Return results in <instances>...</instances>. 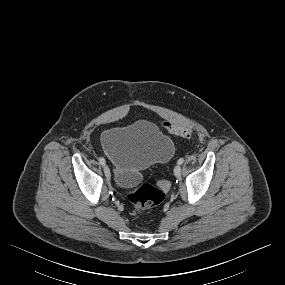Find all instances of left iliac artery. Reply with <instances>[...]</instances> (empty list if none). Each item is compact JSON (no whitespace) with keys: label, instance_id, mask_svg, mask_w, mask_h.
Instances as JSON below:
<instances>
[{"label":"left iliac artery","instance_id":"left-iliac-artery-1","mask_svg":"<svg viewBox=\"0 0 285 285\" xmlns=\"http://www.w3.org/2000/svg\"><path fill=\"white\" fill-rule=\"evenodd\" d=\"M183 162H184V158H180V159L177 161L178 165L183 164Z\"/></svg>","mask_w":285,"mask_h":285}]
</instances>
